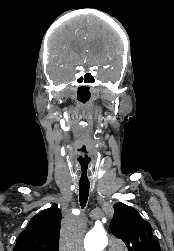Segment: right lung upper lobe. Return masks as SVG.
Listing matches in <instances>:
<instances>
[{
	"mask_svg": "<svg viewBox=\"0 0 174 251\" xmlns=\"http://www.w3.org/2000/svg\"><path fill=\"white\" fill-rule=\"evenodd\" d=\"M61 213L56 205L35 215L18 236L13 251H59Z\"/></svg>",
	"mask_w": 174,
	"mask_h": 251,
	"instance_id": "cb5924a9",
	"label": "right lung upper lobe"
}]
</instances>
